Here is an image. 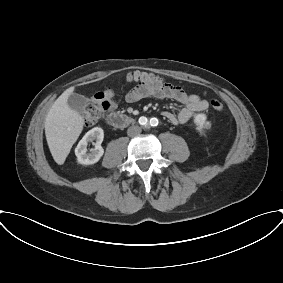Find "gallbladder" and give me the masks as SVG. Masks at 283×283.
<instances>
[{
  "label": "gallbladder",
  "mask_w": 283,
  "mask_h": 283,
  "mask_svg": "<svg viewBox=\"0 0 283 283\" xmlns=\"http://www.w3.org/2000/svg\"><path fill=\"white\" fill-rule=\"evenodd\" d=\"M67 103L69 107L78 113H83L87 100L83 95L72 93L68 97Z\"/></svg>",
  "instance_id": "obj_1"
}]
</instances>
